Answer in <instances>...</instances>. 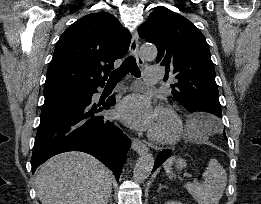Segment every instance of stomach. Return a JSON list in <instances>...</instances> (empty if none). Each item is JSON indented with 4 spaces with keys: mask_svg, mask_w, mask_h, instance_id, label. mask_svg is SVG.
Wrapping results in <instances>:
<instances>
[{
    "mask_svg": "<svg viewBox=\"0 0 261 204\" xmlns=\"http://www.w3.org/2000/svg\"><path fill=\"white\" fill-rule=\"evenodd\" d=\"M175 162L177 170H182L186 166V162L182 158H178Z\"/></svg>",
    "mask_w": 261,
    "mask_h": 204,
    "instance_id": "obj_1",
    "label": "stomach"
}]
</instances>
